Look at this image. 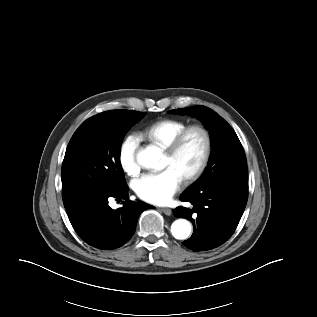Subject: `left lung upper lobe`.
Wrapping results in <instances>:
<instances>
[{
    "label": "left lung upper lobe",
    "mask_w": 317,
    "mask_h": 317,
    "mask_svg": "<svg viewBox=\"0 0 317 317\" xmlns=\"http://www.w3.org/2000/svg\"><path fill=\"white\" fill-rule=\"evenodd\" d=\"M170 112L196 116L210 130L212 152L208 166L202 177L187 190H197L234 177H247L244 149L235 131L221 116L205 106L181 108Z\"/></svg>",
    "instance_id": "5c2ea615"
}]
</instances>
